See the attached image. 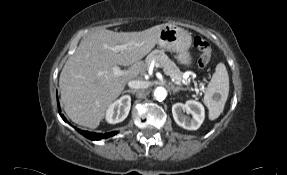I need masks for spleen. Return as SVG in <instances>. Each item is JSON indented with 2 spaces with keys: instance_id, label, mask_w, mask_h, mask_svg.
<instances>
[{
  "instance_id": "3e777b00",
  "label": "spleen",
  "mask_w": 287,
  "mask_h": 175,
  "mask_svg": "<svg viewBox=\"0 0 287 175\" xmlns=\"http://www.w3.org/2000/svg\"><path fill=\"white\" fill-rule=\"evenodd\" d=\"M229 94V76L224 63L216 66L207 88L205 89L204 104L209 110V119L214 120L223 112ZM219 95L216 99L215 96Z\"/></svg>"
}]
</instances>
